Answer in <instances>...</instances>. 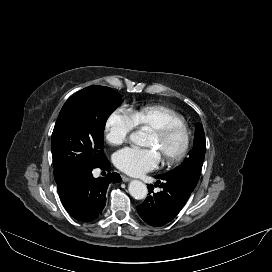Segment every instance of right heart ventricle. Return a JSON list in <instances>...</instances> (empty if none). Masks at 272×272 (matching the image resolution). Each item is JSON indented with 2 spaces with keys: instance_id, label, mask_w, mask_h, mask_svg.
Instances as JSON below:
<instances>
[{
  "instance_id": "right-heart-ventricle-1",
  "label": "right heart ventricle",
  "mask_w": 272,
  "mask_h": 272,
  "mask_svg": "<svg viewBox=\"0 0 272 272\" xmlns=\"http://www.w3.org/2000/svg\"><path fill=\"white\" fill-rule=\"evenodd\" d=\"M135 127L155 130L172 124H184V118L163 105H146L130 111Z\"/></svg>"
}]
</instances>
